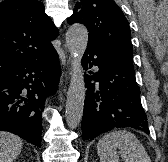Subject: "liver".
Wrapping results in <instances>:
<instances>
[{
  "mask_svg": "<svg viewBox=\"0 0 168 162\" xmlns=\"http://www.w3.org/2000/svg\"><path fill=\"white\" fill-rule=\"evenodd\" d=\"M23 147L22 139L12 133L0 131V162H13Z\"/></svg>",
  "mask_w": 168,
  "mask_h": 162,
  "instance_id": "6515ba94",
  "label": "liver"
}]
</instances>
